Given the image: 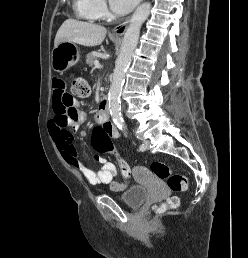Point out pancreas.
<instances>
[{
    "label": "pancreas",
    "mask_w": 248,
    "mask_h": 258,
    "mask_svg": "<svg viewBox=\"0 0 248 258\" xmlns=\"http://www.w3.org/2000/svg\"><path fill=\"white\" fill-rule=\"evenodd\" d=\"M95 60H97L96 53L92 52V53L87 54V56H86V63H87V65L92 67L93 65H95L94 64Z\"/></svg>",
    "instance_id": "cf45deb5"
}]
</instances>
